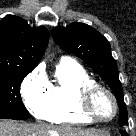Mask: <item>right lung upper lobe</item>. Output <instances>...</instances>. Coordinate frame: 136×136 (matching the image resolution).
Wrapping results in <instances>:
<instances>
[{"instance_id": "right-lung-upper-lobe-1", "label": "right lung upper lobe", "mask_w": 136, "mask_h": 136, "mask_svg": "<svg viewBox=\"0 0 136 136\" xmlns=\"http://www.w3.org/2000/svg\"><path fill=\"white\" fill-rule=\"evenodd\" d=\"M45 27H30L21 17L8 15L0 21V71L31 72L48 44Z\"/></svg>"}]
</instances>
